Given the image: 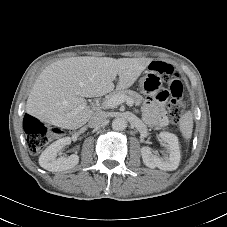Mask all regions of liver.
Wrapping results in <instances>:
<instances>
[{"label":"liver","instance_id":"6515ba94","mask_svg":"<svg viewBox=\"0 0 227 227\" xmlns=\"http://www.w3.org/2000/svg\"><path fill=\"white\" fill-rule=\"evenodd\" d=\"M152 58L81 56L58 60L46 67L36 79L26 102V112L42 122L63 129H77L86 124L93 111L84 97H99L114 90L131 87Z\"/></svg>","mask_w":227,"mask_h":227}]
</instances>
